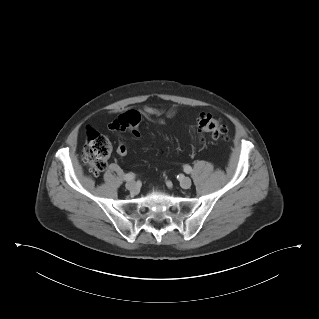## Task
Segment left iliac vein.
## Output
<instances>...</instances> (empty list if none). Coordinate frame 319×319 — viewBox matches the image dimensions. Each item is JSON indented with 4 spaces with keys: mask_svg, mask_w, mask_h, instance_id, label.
<instances>
[{
    "mask_svg": "<svg viewBox=\"0 0 319 319\" xmlns=\"http://www.w3.org/2000/svg\"><path fill=\"white\" fill-rule=\"evenodd\" d=\"M191 179L190 178H188V177H182L181 179H180V185H181V187L183 188V189H188V188H190V186H191Z\"/></svg>",
    "mask_w": 319,
    "mask_h": 319,
    "instance_id": "left-iliac-vein-1",
    "label": "left iliac vein"
}]
</instances>
